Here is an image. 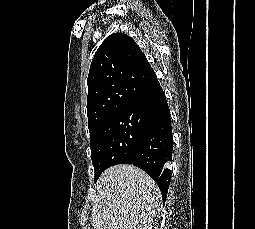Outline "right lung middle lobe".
Listing matches in <instances>:
<instances>
[{
  "instance_id": "obj_1",
  "label": "right lung middle lobe",
  "mask_w": 255,
  "mask_h": 229,
  "mask_svg": "<svg viewBox=\"0 0 255 229\" xmlns=\"http://www.w3.org/2000/svg\"><path fill=\"white\" fill-rule=\"evenodd\" d=\"M143 120L124 109L102 124L90 135L91 159L96 182L101 173L116 164H128L136 153Z\"/></svg>"
}]
</instances>
